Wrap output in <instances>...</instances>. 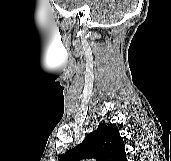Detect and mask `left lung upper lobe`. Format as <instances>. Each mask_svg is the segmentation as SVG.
Returning a JSON list of instances; mask_svg holds the SVG:
<instances>
[{
  "instance_id": "left-lung-upper-lobe-1",
  "label": "left lung upper lobe",
  "mask_w": 171,
  "mask_h": 161,
  "mask_svg": "<svg viewBox=\"0 0 171 161\" xmlns=\"http://www.w3.org/2000/svg\"><path fill=\"white\" fill-rule=\"evenodd\" d=\"M123 138L114 124L100 123L84 141L60 157L59 161H127Z\"/></svg>"
}]
</instances>
